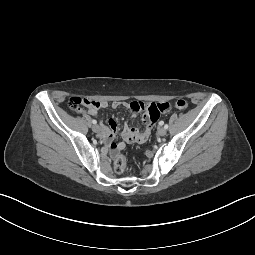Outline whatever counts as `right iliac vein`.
Listing matches in <instances>:
<instances>
[{
  "mask_svg": "<svg viewBox=\"0 0 255 255\" xmlns=\"http://www.w3.org/2000/svg\"><path fill=\"white\" fill-rule=\"evenodd\" d=\"M92 130H93L95 133H98V132L100 131L99 125H94V126L92 127Z\"/></svg>",
  "mask_w": 255,
  "mask_h": 255,
  "instance_id": "1",
  "label": "right iliac vein"
}]
</instances>
